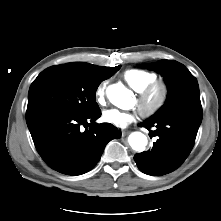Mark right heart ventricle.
<instances>
[{"label": "right heart ventricle", "instance_id": "1", "mask_svg": "<svg viewBox=\"0 0 221 221\" xmlns=\"http://www.w3.org/2000/svg\"><path fill=\"white\" fill-rule=\"evenodd\" d=\"M123 80L136 92L156 80L157 75L144 69H130L123 73Z\"/></svg>", "mask_w": 221, "mask_h": 221}]
</instances>
